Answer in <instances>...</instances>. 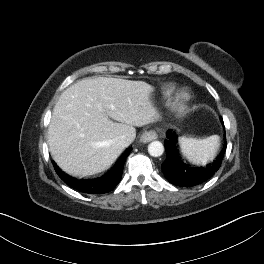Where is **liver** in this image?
Masks as SVG:
<instances>
[{
    "mask_svg": "<svg viewBox=\"0 0 264 264\" xmlns=\"http://www.w3.org/2000/svg\"><path fill=\"white\" fill-rule=\"evenodd\" d=\"M153 92L154 87L143 81L107 77L84 78L68 87L53 109L48 129L54 161L75 176L107 170L125 149L117 137L124 135L131 144L135 127L159 120Z\"/></svg>",
    "mask_w": 264,
    "mask_h": 264,
    "instance_id": "6515ba94",
    "label": "liver"
}]
</instances>
